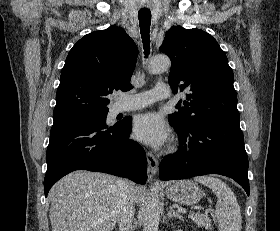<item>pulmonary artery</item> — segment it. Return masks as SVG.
Returning a JSON list of instances; mask_svg holds the SVG:
<instances>
[{
    "instance_id": "e3ab8cb5",
    "label": "pulmonary artery",
    "mask_w": 280,
    "mask_h": 231,
    "mask_svg": "<svg viewBox=\"0 0 280 231\" xmlns=\"http://www.w3.org/2000/svg\"><path fill=\"white\" fill-rule=\"evenodd\" d=\"M171 95L169 87L166 84L160 83L152 90L131 95L134 98L131 102L120 104V112H128L146 107L156 101L168 99Z\"/></svg>"
}]
</instances>
